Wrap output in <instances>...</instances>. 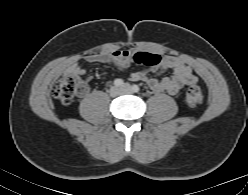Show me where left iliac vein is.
Instances as JSON below:
<instances>
[{
  "label": "left iliac vein",
  "mask_w": 248,
  "mask_h": 195,
  "mask_svg": "<svg viewBox=\"0 0 248 195\" xmlns=\"http://www.w3.org/2000/svg\"><path fill=\"white\" fill-rule=\"evenodd\" d=\"M121 90H122L123 92L129 93L130 91H132V87H131L129 84H125V85L121 88Z\"/></svg>",
  "instance_id": "left-iliac-vein-1"
}]
</instances>
